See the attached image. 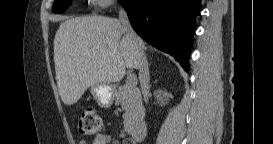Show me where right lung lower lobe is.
<instances>
[{"label": "right lung lower lobe", "mask_w": 273, "mask_h": 144, "mask_svg": "<svg viewBox=\"0 0 273 144\" xmlns=\"http://www.w3.org/2000/svg\"><path fill=\"white\" fill-rule=\"evenodd\" d=\"M133 29L149 44L169 53L189 70L195 18L201 0H119Z\"/></svg>", "instance_id": "obj_1"}]
</instances>
